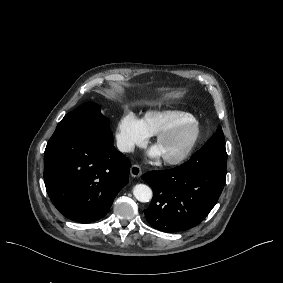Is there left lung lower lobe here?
Listing matches in <instances>:
<instances>
[{
  "instance_id": "0a47b994",
  "label": "left lung lower lobe",
  "mask_w": 283,
  "mask_h": 283,
  "mask_svg": "<svg viewBox=\"0 0 283 283\" xmlns=\"http://www.w3.org/2000/svg\"><path fill=\"white\" fill-rule=\"evenodd\" d=\"M225 144L207 142L179 167L147 172L142 179L154 191L144 210L150 225L163 232H178L199 224L212 210L224 188Z\"/></svg>"
}]
</instances>
